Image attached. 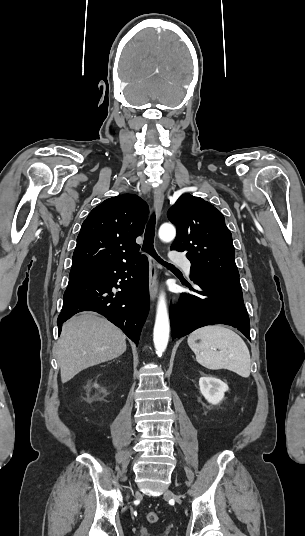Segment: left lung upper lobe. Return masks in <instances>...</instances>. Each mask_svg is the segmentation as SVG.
<instances>
[{
    "label": "left lung upper lobe",
    "mask_w": 305,
    "mask_h": 536,
    "mask_svg": "<svg viewBox=\"0 0 305 536\" xmlns=\"http://www.w3.org/2000/svg\"><path fill=\"white\" fill-rule=\"evenodd\" d=\"M167 215L177 228L171 249L187 252L191 277L239 281L232 235L218 209L200 197L184 194Z\"/></svg>",
    "instance_id": "obj_1"
}]
</instances>
